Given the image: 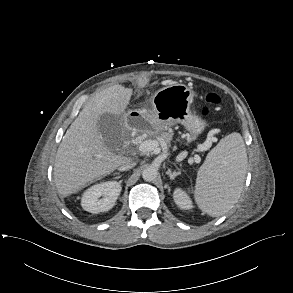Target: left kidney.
Listing matches in <instances>:
<instances>
[{
    "instance_id": "left-kidney-1",
    "label": "left kidney",
    "mask_w": 293,
    "mask_h": 293,
    "mask_svg": "<svg viewBox=\"0 0 293 293\" xmlns=\"http://www.w3.org/2000/svg\"><path fill=\"white\" fill-rule=\"evenodd\" d=\"M173 198L175 203L181 209H191L193 207L192 201L190 197L188 196V194L180 188H177L174 191Z\"/></svg>"
}]
</instances>
